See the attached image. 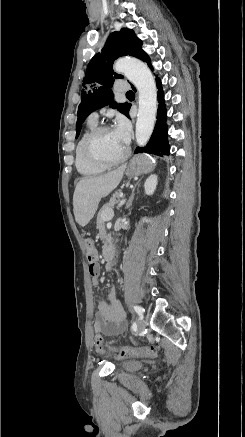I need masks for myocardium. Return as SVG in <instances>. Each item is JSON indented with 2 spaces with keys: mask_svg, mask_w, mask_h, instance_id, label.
Here are the masks:
<instances>
[{
  "mask_svg": "<svg viewBox=\"0 0 245 437\" xmlns=\"http://www.w3.org/2000/svg\"><path fill=\"white\" fill-rule=\"evenodd\" d=\"M109 130H112L111 126L109 125L96 126L87 134L83 143V150L87 159L92 163L103 167H111L122 163L127 159L130 153L129 147H126L124 154L117 159H106L98 154L96 151V142L104 132Z\"/></svg>",
  "mask_w": 245,
  "mask_h": 437,
  "instance_id": "1",
  "label": "myocardium"
}]
</instances>
